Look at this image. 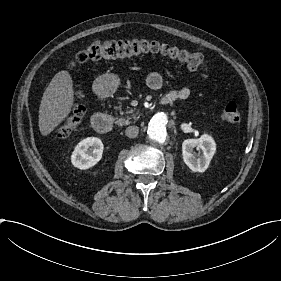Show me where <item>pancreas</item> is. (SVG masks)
Returning a JSON list of instances; mask_svg holds the SVG:
<instances>
[{"label":"pancreas","instance_id":"obj_1","mask_svg":"<svg viewBox=\"0 0 281 281\" xmlns=\"http://www.w3.org/2000/svg\"><path fill=\"white\" fill-rule=\"evenodd\" d=\"M134 111H135L134 109H130L129 111H127V113L132 114V113H134ZM120 114H124V112L121 111V109H120ZM131 118H133L134 120H137V119H138L137 116L132 115V117H127L126 119H125V118H120V119H118V120L116 121V123H117L118 125H120V126H122V125H128V124H130V119H131Z\"/></svg>","mask_w":281,"mask_h":281}]
</instances>
